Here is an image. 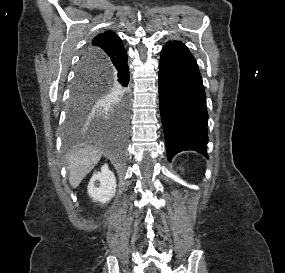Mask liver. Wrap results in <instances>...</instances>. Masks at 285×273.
I'll use <instances>...</instances> for the list:
<instances>
[{
    "label": "liver",
    "instance_id": "1",
    "mask_svg": "<svg viewBox=\"0 0 285 273\" xmlns=\"http://www.w3.org/2000/svg\"><path fill=\"white\" fill-rule=\"evenodd\" d=\"M102 152L92 146L76 150L67 155L69 183L73 188L79 186L85 176L100 161Z\"/></svg>",
    "mask_w": 285,
    "mask_h": 273
}]
</instances>
